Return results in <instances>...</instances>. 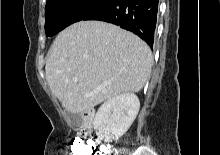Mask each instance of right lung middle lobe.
Segmentation results:
<instances>
[{
    "label": "right lung middle lobe",
    "instance_id": "obj_1",
    "mask_svg": "<svg viewBox=\"0 0 220 155\" xmlns=\"http://www.w3.org/2000/svg\"><path fill=\"white\" fill-rule=\"evenodd\" d=\"M114 0H52L46 3L45 8V32L47 36H53L65 27L84 20Z\"/></svg>",
    "mask_w": 220,
    "mask_h": 155
}]
</instances>
